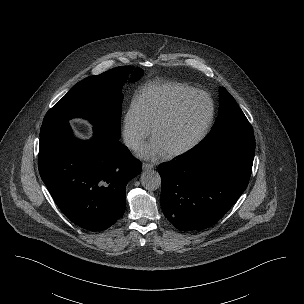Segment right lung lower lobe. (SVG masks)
Segmentation results:
<instances>
[{
  "label": "right lung lower lobe",
  "mask_w": 304,
  "mask_h": 304,
  "mask_svg": "<svg viewBox=\"0 0 304 304\" xmlns=\"http://www.w3.org/2000/svg\"><path fill=\"white\" fill-rule=\"evenodd\" d=\"M90 141L73 137L68 122L41 128L39 173L60 210L90 231L113 225L126 207V185L141 162L104 128Z\"/></svg>",
  "instance_id": "right-lung-lower-lobe-1"
}]
</instances>
